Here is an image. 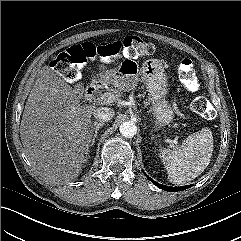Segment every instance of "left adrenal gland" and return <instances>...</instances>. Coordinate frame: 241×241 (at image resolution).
Wrapping results in <instances>:
<instances>
[{"label": "left adrenal gland", "instance_id": "1", "mask_svg": "<svg viewBox=\"0 0 241 241\" xmlns=\"http://www.w3.org/2000/svg\"><path fill=\"white\" fill-rule=\"evenodd\" d=\"M151 140H154V136L152 135Z\"/></svg>", "mask_w": 241, "mask_h": 241}]
</instances>
